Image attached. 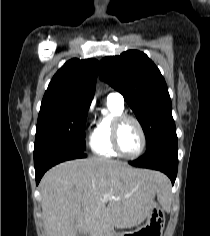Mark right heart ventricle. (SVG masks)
I'll list each match as a JSON object with an SVG mask.
<instances>
[{
  "instance_id": "obj_1",
  "label": "right heart ventricle",
  "mask_w": 210,
  "mask_h": 236,
  "mask_svg": "<svg viewBox=\"0 0 210 236\" xmlns=\"http://www.w3.org/2000/svg\"><path fill=\"white\" fill-rule=\"evenodd\" d=\"M108 112L102 114L91 134L89 146L92 152L100 157L115 158L117 153L112 146V125L116 116L123 113V106L107 100Z\"/></svg>"
}]
</instances>
